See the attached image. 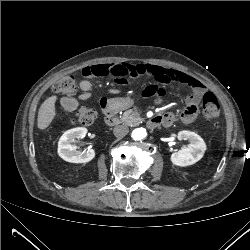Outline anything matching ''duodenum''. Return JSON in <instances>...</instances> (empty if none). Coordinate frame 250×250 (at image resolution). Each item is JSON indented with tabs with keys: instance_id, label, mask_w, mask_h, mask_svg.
Returning a JSON list of instances; mask_svg holds the SVG:
<instances>
[{
	"instance_id": "obj_1",
	"label": "duodenum",
	"mask_w": 250,
	"mask_h": 250,
	"mask_svg": "<svg viewBox=\"0 0 250 250\" xmlns=\"http://www.w3.org/2000/svg\"><path fill=\"white\" fill-rule=\"evenodd\" d=\"M101 106L103 108L105 122L109 125L114 124L115 118L118 117L122 113L121 110L111 106L104 100L101 101ZM160 122H161V119L157 115H151L147 119V124L148 126H151V127H156L157 125L160 124Z\"/></svg>"
}]
</instances>
